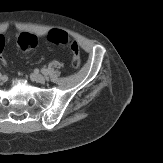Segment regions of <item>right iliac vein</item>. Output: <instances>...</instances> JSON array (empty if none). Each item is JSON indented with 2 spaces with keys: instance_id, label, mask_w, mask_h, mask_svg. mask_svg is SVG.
Masks as SVG:
<instances>
[{
  "instance_id": "1",
  "label": "right iliac vein",
  "mask_w": 163,
  "mask_h": 163,
  "mask_svg": "<svg viewBox=\"0 0 163 163\" xmlns=\"http://www.w3.org/2000/svg\"><path fill=\"white\" fill-rule=\"evenodd\" d=\"M2 80V76L0 75V81Z\"/></svg>"
}]
</instances>
